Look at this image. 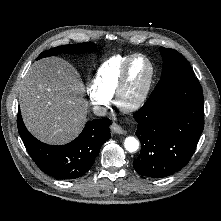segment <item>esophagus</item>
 <instances>
[{"mask_svg":"<svg viewBox=\"0 0 221 221\" xmlns=\"http://www.w3.org/2000/svg\"><path fill=\"white\" fill-rule=\"evenodd\" d=\"M110 129L112 130V132L117 133V134H125L126 133V131L115 122H113L110 125Z\"/></svg>","mask_w":221,"mask_h":221,"instance_id":"obj_1","label":"esophagus"}]
</instances>
